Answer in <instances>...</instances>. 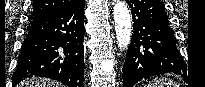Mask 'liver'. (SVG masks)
Listing matches in <instances>:
<instances>
[{"instance_id": "liver-1", "label": "liver", "mask_w": 205, "mask_h": 87, "mask_svg": "<svg viewBox=\"0 0 205 87\" xmlns=\"http://www.w3.org/2000/svg\"><path fill=\"white\" fill-rule=\"evenodd\" d=\"M18 87H62L61 84L55 83L48 79L31 78L23 80Z\"/></svg>"}]
</instances>
